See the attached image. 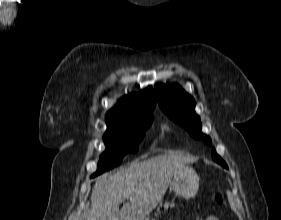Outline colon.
<instances>
[{
  "label": "colon",
  "mask_w": 281,
  "mask_h": 220,
  "mask_svg": "<svg viewBox=\"0 0 281 220\" xmlns=\"http://www.w3.org/2000/svg\"><path fill=\"white\" fill-rule=\"evenodd\" d=\"M215 201H216L218 204H222V202H223V197H222V195H221L220 193H217V194L215 195Z\"/></svg>",
  "instance_id": "1"
}]
</instances>
